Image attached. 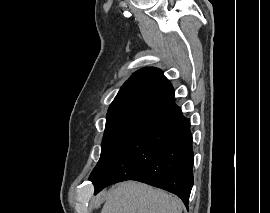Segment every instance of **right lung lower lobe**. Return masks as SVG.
<instances>
[{"label":"right lung lower lobe","instance_id":"obj_1","mask_svg":"<svg viewBox=\"0 0 270 213\" xmlns=\"http://www.w3.org/2000/svg\"><path fill=\"white\" fill-rule=\"evenodd\" d=\"M193 158L190 120L171 99L144 118L91 181L95 193L113 183L140 181L176 194L188 206Z\"/></svg>","mask_w":270,"mask_h":213}]
</instances>
